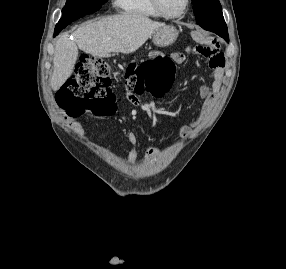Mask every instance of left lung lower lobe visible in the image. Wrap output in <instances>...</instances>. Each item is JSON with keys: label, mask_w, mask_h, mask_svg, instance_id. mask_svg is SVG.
<instances>
[{"label": "left lung lower lobe", "mask_w": 286, "mask_h": 269, "mask_svg": "<svg viewBox=\"0 0 286 269\" xmlns=\"http://www.w3.org/2000/svg\"><path fill=\"white\" fill-rule=\"evenodd\" d=\"M217 35H219V36H221L222 38H224L226 42H229L228 32H226V33H219V34H217Z\"/></svg>", "instance_id": "left-lung-lower-lobe-1"}]
</instances>
